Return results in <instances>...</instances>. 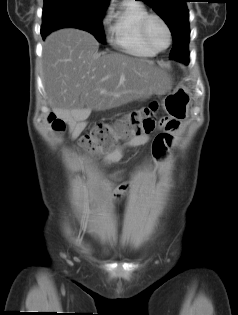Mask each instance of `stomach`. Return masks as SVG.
Returning a JSON list of instances; mask_svg holds the SVG:
<instances>
[{
	"mask_svg": "<svg viewBox=\"0 0 238 315\" xmlns=\"http://www.w3.org/2000/svg\"><path fill=\"white\" fill-rule=\"evenodd\" d=\"M191 104L190 87H177L176 91L166 94L163 109L167 110V116H171L176 122H185L187 109Z\"/></svg>",
	"mask_w": 238,
	"mask_h": 315,
	"instance_id": "stomach-1",
	"label": "stomach"
}]
</instances>
